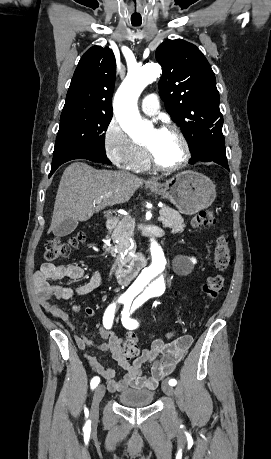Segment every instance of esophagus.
Here are the masks:
<instances>
[{
	"label": "esophagus",
	"mask_w": 271,
	"mask_h": 459,
	"mask_svg": "<svg viewBox=\"0 0 271 459\" xmlns=\"http://www.w3.org/2000/svg\"><path fill=\"white\" fill-rule=\"evenodd\" d=\"M147 185H157V180L155 178H151L147 180Z\"/></svg>",
	"instance_id": "1"
}]
</instances>
